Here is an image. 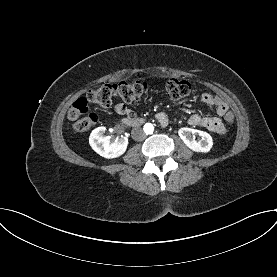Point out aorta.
<instances>
[{
  "label": "aorta",
  "instance_id": "aorta-1",
  "mask_svg": "<svg viewBox=\"0 0 277 277\" xmlns=\"http://www.w3.org/2000/svg\"><path fill=\"white\" fill-rule=\"evenodd\" d=\"M144 132L146 134H152L154 132V126L152 123H146L144 125Z\"/></svg>",
  "mask_w": 277,
  "mask_h": 277
}]
</instances>
